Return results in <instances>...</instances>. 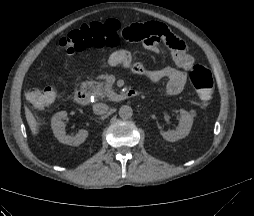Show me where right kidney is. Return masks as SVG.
I'll return each mask as SVG.
<instances>
[{
    "instance_id": "right-kidney-1",
    "label": "right kidney",
    "mask_w": 254,
    "mask_h": 216,
    "mask_svg": "<svg viewBox=\"0 0 254 216\" xmlns=\"http://www.w3.org/2000/svg\"><path fill=\"white\" fill-rule=\"evenodd\" d=\"M67 117V112L61 111L57 112L51 119V127L54 133V136L58 139L59 142L67 144L70 146H78L86 140L88 137V131L81 129L75 136L66 135L65 132V123L63 120Z\"/></svg>"
}]
</instances>
